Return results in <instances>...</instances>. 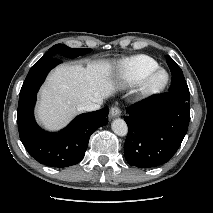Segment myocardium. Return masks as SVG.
Listing matches in <instances>:
<instances>
[{"label":"myocardium","mask_w":213,"mask_h":213,"mask_svg":"<svg viewBox=\"0 0 213 213\" xmlns=\"http://www.w3.org/2000/svg\"><path fill=\"white\" fill-rule=\"evenodd\" d=\"M160 76L163 78L160 79ZM169 79V73L165 69L157 68L141 81L138 89L139 100H147L162 93L167 87Z\"/></svg>","instance_id":"f54148a6"}]
</instances>
